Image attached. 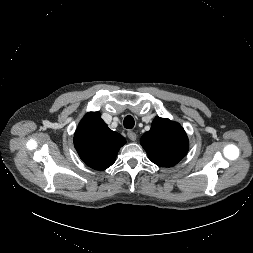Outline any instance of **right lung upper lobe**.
I'll return each mask as SVG.
<instances>
[{
	"mask_svg": "<svg viewBox=\"0 0 253 253\" xmlns=\"http://www.w3.org/2000/svg\"><path fill=\"white\" fill-rule=\"evenodd\" d=\"M125 138L108 128L99 112H89L79 123L74 134V146L89 167L104 170L115 162Z\"/></svg>",
	"mask_w": 253,
	"mask_h": 253,
	"instance_id": "obj_1",
	"label": "right lung upper lobe"
}]
</instances>
